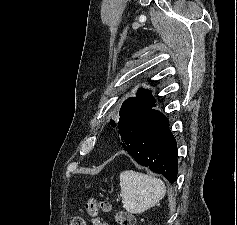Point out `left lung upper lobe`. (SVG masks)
<instances>
[{
  "instance_id": "left-lung-upper-lobe-1",
  "label": "left lung upper lobe",
  "mask_w": 237,
  "mask_h": 225,
  "mask_svg": "<svg viewBox=\"0 0 237 225\" xmlns=\"http://www.w3.org/2000/svg\"><path fill=\"white\" fill-rule=\"evenodd\" d=\"M155 101L152 99L150 92L147 90H140L136 97L128 98L122 105L120 110V119L127 113L135 110L136 108L149 105L154 103ZM118 121V122H119ZM118 124V123H117ZM111 125L114 127L116 124L113 120H111Z\"/></svg>"
}]
</instances>
